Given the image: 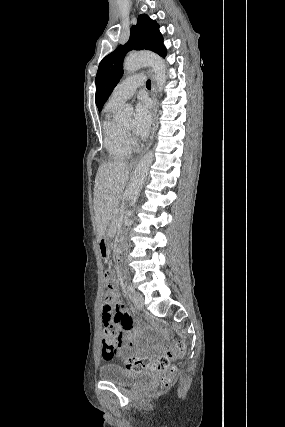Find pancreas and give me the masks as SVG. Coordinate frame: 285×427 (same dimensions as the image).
I'll use <instances>...</instances> for the list:
<instances>
[{
  "label": "pancreas",
  "mask_w": 285,
  "mask_h": 427,
  "mask_svg": "<svg viewBox=\"0 0 285 427\" xmlns=\"http://www.w3.org/2000/svg\"><path fill=\"white\" fill-rule=\"evenodd\" d=\"M116 226H117V215L114 214V216H113V223H112V226H111V231L112 232L116 229Z\"/></svg>",
  "instance_id": "cf45deb5"
}]
</instances>
